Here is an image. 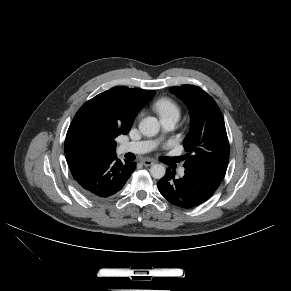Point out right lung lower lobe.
Masks as SVG:
<instances>
[{"mask_svg": "<svg viewBox=\"0 0 291 291\" xmlns=\"http://www.w3.org/2000/svg\"><path fill=\"white\" fill-rule=\"evenodd\" d=\"M69 166L80 192L89 199L113 196L136 169L135 163L126 160L122 163L115 153L89 156Z\"/></svg>", "mask_w": 291, "mask_h": 291, "instance_id": "right-lung-lower-lobe-1", "label": "right lung lower lobe"}]
</instances>
